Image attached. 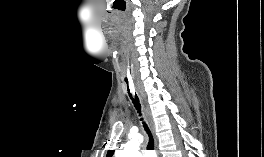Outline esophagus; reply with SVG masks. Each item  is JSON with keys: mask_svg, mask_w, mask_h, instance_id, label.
Wrapping results in <instances>:
<instances>
[{"mask_svg": "<svg viewBox=\"0 0 264 157\" xmlns=\"http://www.w3.org/2000/svg\"><path fill=\"white\" fill-rule=\"evenodd\" d=\"M142 107H143L144 113H145V115L147 117V120H148V122H149V124L151 126V129H152V132H153L155 151L159 154L158 139H157V136H156V133H155L154 122H153V119H152V116H151L150 109H149L145 99H142Z\"/></svg>", "mask_w": 264, "mask_h": 157, "instance_id": "34e87169", "label": "esophagus"}]
</instances>
